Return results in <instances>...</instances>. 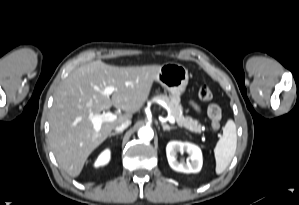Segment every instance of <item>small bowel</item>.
<instances>
[{"mask_svg":"<svg viewBox=\"0 0 299 205\" xmlns=\"http://www.w3.org/2000/svg\"><path fill=\"white\" fill-rule=\"evenodd\" d=\"M192 106H193L196 110H199V107H198L197 104L192 103ZM211 108H218V106H216V105H211V106L209 107V109H211Z\"/></svg>","mask_w":299,"mask_h":205,"instance_id":"c3829d8e","label":"small bowel"}]
</instances>
